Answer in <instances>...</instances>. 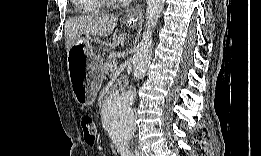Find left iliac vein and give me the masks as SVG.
<instances>
[{
	"label": "left iliac vein",
	"instance_id": "4c4485c4",
	"mask_svg": "<svg viewBox=\"0 0 261 156\" xmlns=\"http://www.w3.org/2000/svg\"><path fill=\"white\" fill-rule=\"evenodd\" d=\"M134 153L136 156H144V153L142 152V150L139 147H136L134 149Z\"/></svg>",
	"mask_w": 261,
	"mask_h": 156
}]
</instances>
